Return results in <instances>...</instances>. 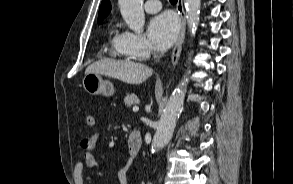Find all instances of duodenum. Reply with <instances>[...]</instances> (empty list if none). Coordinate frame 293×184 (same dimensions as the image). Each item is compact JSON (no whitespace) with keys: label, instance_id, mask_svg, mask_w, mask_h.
<instances>
[{"label":"duodenum","instance_id":"410a0bca","mask_svg":"<svg viewBox=\"0 0 293 184\" xmlns=\"http://www.w3.org/2000/svg\"><path fill=\"white\" fill-rule=\"evenodd\" d=\"M128 154L131 158H134L139 152L142 146L141 133L138 130H134L128 137L127 141Z\"/></svg>","mask_w":293,"mask_h":184}]
</instances>
